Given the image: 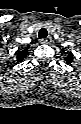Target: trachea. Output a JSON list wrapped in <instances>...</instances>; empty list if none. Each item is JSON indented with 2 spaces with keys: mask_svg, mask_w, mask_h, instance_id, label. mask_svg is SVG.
<instances>
[{
  "mask_svg": "<svg viewBox=\"0 0 81 124\" xmlns=\"http://www.w3.org/2000/svg\"><path fill=\"white\" fill-rule=\"evenodd\" d=\"M39 38H46L48 36V31L45 28L40 29L39 34H38Z\"/></svg>",
  "mask_w": 81,
  "mask_h": 124,
  "instance_id": "3493384b",
  "label": "trachea"
}]
</instances>
